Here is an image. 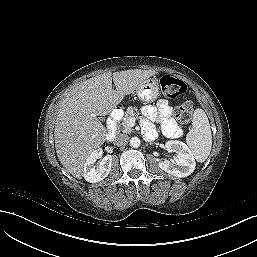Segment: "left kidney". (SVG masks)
<instances>
[{"mask_svg": "<svg viewBox=\"0 0 257 257\" xmlns=\"http://www.w3.org/2000/svg\"><path fill=\"white\" fill-rule=\"evenodd\" d=\"M167 151L175 152L171 161L164 160L159 162V167L165 172L179 178L187 177L195 170V159L187 147L181 141L172 140L165 144Z\"/></svg>", "mask_w": 257, "mask_h": 257, "instance_id": "5707ae66", "label": "left kidney"}]
</instances>
